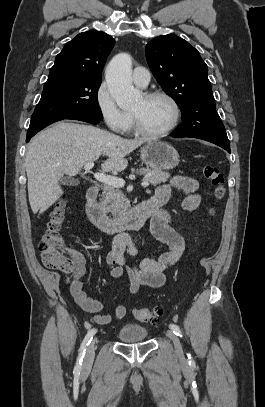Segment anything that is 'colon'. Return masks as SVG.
<instances>
[{"label": "colon", "mask_w": 265, "mask_h": 407, "mask_svg": "<svg viewBox=\"0 0 265 407\" xmlns=\"http://www.w3.org/2000/svg\"><path fill=\"white\" fill-rule=\"evenodd\" d=\"M204 177L213 187V199L220 203L226 196V187L223 174L214 164H204L202 167ZM215 207L210 210V215ZM66 219V203L59 202L50 212L47 229L39 245L43 264L50 269L70 271L74 267V253L66 246L61 229ZM134 317L144 323L157 322L161 311L159 309H134Z\"/></svg>", "instance_id": "1"}]
</instances>
